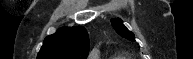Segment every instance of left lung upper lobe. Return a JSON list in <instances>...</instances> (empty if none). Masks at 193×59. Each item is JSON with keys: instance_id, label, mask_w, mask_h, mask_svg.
Listing matches in <instances>:
<instances>
[{"instance_id": "obj_1", "label": "left lung upper lobe", "mask_w": 193, "mask_h": 59, "mask_svg": "<svg viewBox=\"0 0 193 59\" xmlns=\"http://www.w3.org/2000/svg\"><path fill=\"white\" fill-rule=\"evenodd\" d=\"M111 24L114 27L115 31L121 35L122 37L130 40V41H134L135 40V36L133 34V32L129 31L124 25L123 22L120 18L117 19H111Z\"/></svg>"}]
</instances>
